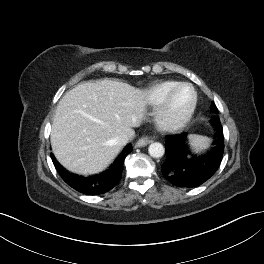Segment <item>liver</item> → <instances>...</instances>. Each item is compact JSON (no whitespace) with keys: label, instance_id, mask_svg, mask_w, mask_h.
Listing matches in <instances>:
<instances>
[{"label":"liver","instance_id":"liver-1","mask_svg":"<svg viewBox=\"0 0 264 264\" xmlns=\"http://www.w3.org/2000/svg\"><path fill=\"white\" fill-rule=\"evenodd\" d=\"M147 106L146 93L127 83L104 79L78 84L59 101L51 146L66 169L95 173L108 166L123 146L116 138L134 136Z\"/></svg>","mask_w":264,"mask_h":264}]
</instances>
